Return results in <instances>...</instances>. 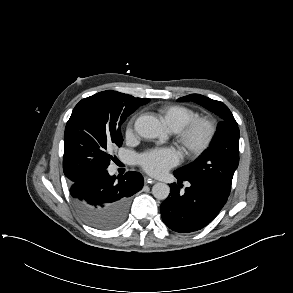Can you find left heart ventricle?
<instances>
[{
    "label": "left heart ventricle",
    "instance_id": "b2bd125f",
    "mask_svg": "<svg viewBox=\"0 0 293 293\" xmlns=\"http://www.w3.org/2000/svg\"><path fill=\"white\" fill-rule=\"evenodd\" d=\"M200 136H201V132H198V133L195 135V140H199Z\"/></svg>",
    "mask_w": 293,
    "mask_h": 293
}]
</instances>
